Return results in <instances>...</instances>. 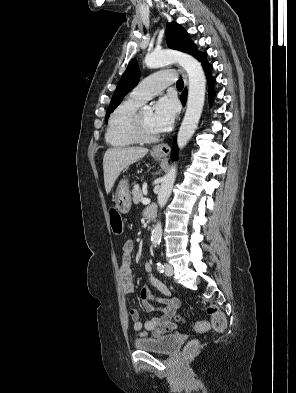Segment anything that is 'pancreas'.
Masks as SVG:
<instances>
[{
    "instance_id": "obj_1",
    "label": "pancreas",
    "mask_w": 296,
    "mask_h": 393,
    "mask_svg": "<svg viewBox=\"0 0 296 393\" xmlns=\"http://www.w3.org/2000/svg\"><path fill=\"white\" fill-rule=\"evenodd\" d=\"M132 196L134 204H139L143 199V193L137 185L133 187Z\"/></svg>"
}]
</instances>
